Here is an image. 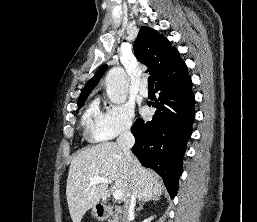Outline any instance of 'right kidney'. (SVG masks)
I'll return each mask as SVG.
<instances>
[{"label": "right kidney", "mask_w": 257, "mask_h": 222, "mask_svg": "<svg viewBox=\"0 0 257 222\" xmlns=\"http://www.w3.org/2000/svg\"><path fill=\"white\" fill-rule=\"evenodd\" d=\"M152 219H153V217H150L148 219H145L143 222H151Z\"/></svg>", "instance_id": "obj_1"}]
</instances>
